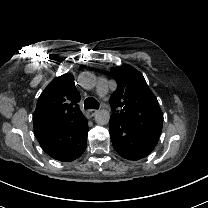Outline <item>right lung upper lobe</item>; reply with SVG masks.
Masks as SVG:
<instances>
[{"mask_svg": "<svg viewBox=\"0 0 208 208\" xmlns=\"http://www.w3.org/2000/svg\"><path fill=\"white\" fill-rule=\"evenodd\" d=\"M79 101L73 75L55 78L38 98L33 115L34 133L62 129L83 117Z\"/></svg>", "mask_w": 208, "mask_h": 208, "instance_id": "obj_1", "label": "right lung upper lobe"}]
</instances>
